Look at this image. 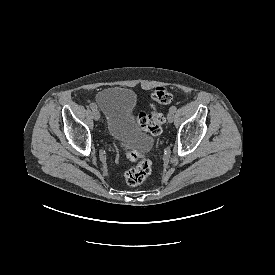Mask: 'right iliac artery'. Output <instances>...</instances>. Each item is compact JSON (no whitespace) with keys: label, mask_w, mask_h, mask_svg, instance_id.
<instances>
[{"label":"right iliac artery","mask_w":275,"mask_h":275,"mask_svg":"<svg viewBox=\"0 0 275 275\" xmlns=\"http://www.w3.org/2000/svg\"><path fill=\"white\" fill-rule=\"evenodd\" d=\"M90 108H91V109H95V108H97V106H96L94 103H91V104H90Z\"/></svg>","instance_id":"obj_1"}]
</instances>
